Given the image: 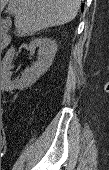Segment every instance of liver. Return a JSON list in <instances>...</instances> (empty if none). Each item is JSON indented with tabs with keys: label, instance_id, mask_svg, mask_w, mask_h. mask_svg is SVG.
<instances>
[{
	"label": "liver",
	"instance_id": "obj_1",
	"mask_svg": "<svg viewBox=\"0 0 109 170\" xmlns=\"http://www.w3.org/2000/svg\"><path fill=\"white\" fill-rule=\"evenodd\" d=\"M7 1L10 8L17 9L14 24L23 33L68 23L75 18L80 6V0Z\"/></svg>",
	"mask_w": 109,
	"mask_h": 170
}]
</instances>
